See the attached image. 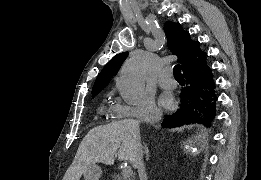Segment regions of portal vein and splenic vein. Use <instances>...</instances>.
Wrapping results in <instances>:
<instances>
[{
    "mask_svg": "<svg viewBox=\"0 0 261 180\" xmlns=\"http://www.w3.org/2000/svg\"><path fill=\"white\" fill-rule=\"evenodd\" d=\"M122 180H127V178H130L133 174L132 168H122Z\"/></svg>",
    "mask_w": 261,
    "mask_h": 180,
    "instance_id": "18ae733b",
    "label": "portal vein and splenic vein"
}]
</instances>
